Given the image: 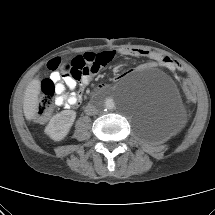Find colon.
<instances>
[{
  "label": "colon",
  "mask_w": 215,
  "mask_h": 215,
  "mask_svg": "<svg viewBox=\"0 0 215 215\" xmlns=\"http://www.w3.org/2000/svg\"><path fill=\"white\" fill-rule=\"evenodd\" d=\"M49 70L58 72L65 76H73L79 79L83 73L84 63L79 56L75 57L72 62L62 64L60 58H54L47 64ZM180 88L186 92L185 101L189 105H194L198 101L199 92L194 88L193 82L189 78H184L180 82ZM55 98V81L52 78L45 79L42 82L41 94L38 99L36 119L45 121L52 112Z\"/></svg>",
  "instance_id": "colon-1"
}]
</instances>
